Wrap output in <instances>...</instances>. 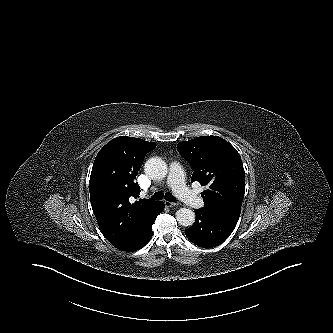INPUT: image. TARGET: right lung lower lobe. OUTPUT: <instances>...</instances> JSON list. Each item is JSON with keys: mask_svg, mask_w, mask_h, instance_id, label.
I'll return each mask as SVG.
<instances>
[{"mask_svg": "<svg viewBox=\"0 0 333 333\" xmlns=\"http://www.w3.org/2000/svg\"><path fill=\"white\" fill-rule=\"evenodd\" d=\"M163 209H164V204L162 202H160L159 209H158V212H157V215L155 216V218L145 227V229L143 230L142 234L138 237L136 242L131 247L126 249L125 251L132 252V251L138 250V249L142 248L143 246H145L150 241V239L152 237V225H153L156 217L163 211Z\"/></svg>", "mask_w": 333, "mask_h": 333, "instance_id": "1", "label": "right lung lower lobe"}]
</instances>
